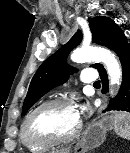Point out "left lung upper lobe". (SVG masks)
Wrapping results in <instances>:
<instances>
[{
  "label": "left lung upper lobe",
  "instance_id": "1",
  "mask_svg": "<svg viewBox=\"0 0 130 153\" xmlns=\"http://www.w3.org/2000/svg\"><path fill=\"white\" fill-rule=\"evenodd\" d=\"M89 27L92 33V42L107 46L110 38L122 31L117 24L108 17L97 16L89 18ZM82 40V33L77 31L67 44L48 57L38 68L33 76L27 96L23 103L22 115H24L45 93L52 88L67 81L69 74L75 70L67 64L69 52L78 46ZM101 64H93L91 67L97 70Z\"/></svg>",
  "mask_w": 130,
  "mask_h": 153
}]
</instances>
